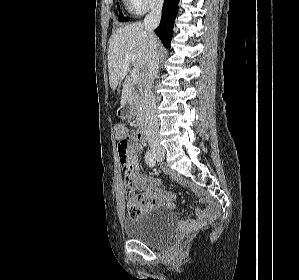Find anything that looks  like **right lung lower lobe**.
Listing matches in <instances>:
<instances>
[{"label":"right lung lower lobe","instance_id":"obj_1","mask_svg":"<svg viewBox=\"0 0 299 280\" xmlns=\"http://www.w3.org/2000/svg\"><path fill=\"white\" fill-rule=\"evenodd\" d=\"M178 3L179 0H164L161 22L155 29L156 35L160 38L166 48H170L174 21L178 13Z\"/></svg>","mask_w":299,"mask_h":280}]
</instances>
